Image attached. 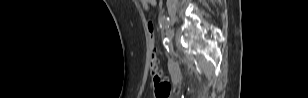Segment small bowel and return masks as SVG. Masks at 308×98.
Segmentation results:
<instances>
[{"label":"small bowel","mask_w":308,"mask_h":98,"mask_svg":"<svg viewBox=\"0 0 308 98\" xmlns=\"http://www.w3.org/2000/svg\"><path fill=\"white\" fill-rule=\"evenodd\" d=\"M139 2L147 11L156 4L155 0H140Z\"/></svg>","instance_id":"small-bowel-1"}]
</instances>
